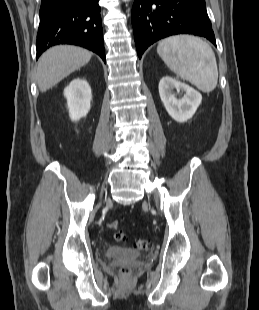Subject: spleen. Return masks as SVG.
<instances>
[{"label":"spleen","mask_w":259,"mask_h":310,"mask_svg":"<svg viewBox=\"0 0 259 310\" xmlns=\"http://www.w3.org/2000/svg\"><path fill=\"white\" fill-rule=\"evenodd\" d=\"M157 53L177 76L203 92L217 86L218 67L211 46L192 35H176L159 42Z\"/></svg>","instance_id":"1"}]
</instances>
